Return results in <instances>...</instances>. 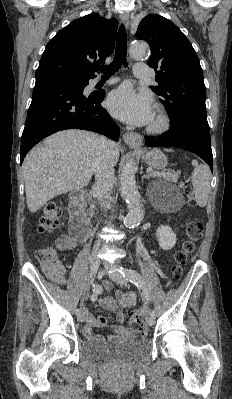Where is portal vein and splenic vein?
Returning a JSON list of instances; mask_svg holds the SVG:
<instances>
[{
	"mask_svg": "<svg viewBox=\"0 0 232 399\" xmlns=\"http://www.w3.org/2000/svg\"><path fill=\"white\" fill-rule=\"evenodd\" d=\"M148 172H151L150 168H148ZM154 176H160V174H156V172H154Z\"/></svg>",
	"mask_w": 232,
	"mask_h": 399,
	"instance_id": "18ae733b",
	"label": "portal vein and splenic vein"
}]
</instances>
